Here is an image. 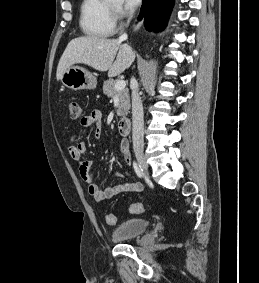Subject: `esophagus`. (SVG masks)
<instances>
[{
  "label": "esophagus",
  "instance_id": "obj_1",
  "mask_svg": "<svg viewBox=\"0 0 259 283\" xmlns=\"http://www.w3.org/2000/svg\"><path fill=\"white\" fill-rule=\"evenodd\" d=\"M141 26H142V21H140V22L137 24V26H136V28H135V31L137 32V31L140 29Z\"/></svg>",
  "mask_w": 259,
  "mask_h": 283
}]
</instances>
